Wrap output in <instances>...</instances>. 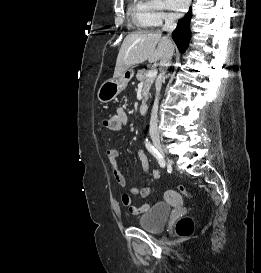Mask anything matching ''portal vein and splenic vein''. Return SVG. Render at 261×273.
<instances>
[{
  "label": "portal vein and splenic vein",
  "mask_w": 261,
  "mask_h": 273,
  "mask_svg": "<svg viewBox=\"0 0 261 273\" xmlns=\"http://www.w3.org/2000/svg\"><path fill=\"white\" fill-rule=\"evenodd\" d=\"M156 75H157V70L156 69H151L146 74L147 77H156Z\"/></svg>",
  "instance_id": "obj_1"
}]
</instances>
